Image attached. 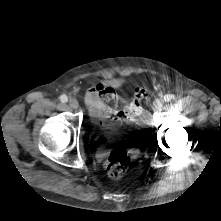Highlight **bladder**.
Instances as JSON below:
<instances>
[{
	"label": "bladder",
	"mask_w": 221,
	"mask_h": 221,
	"mask_svg": "<svg viewBox=\"0 0 221 221\" xmlns=\"http://www.w3.org/2000/svg\"><path fill=\"white\" fill-rule=\"evenodd\" d=\"M125 130V129H124ZM124 131L119 128V125L108 124L107 133L112 136L122 134Z\"/></svg>",
	"instance_id": "obj_1"
}]
</instances>
